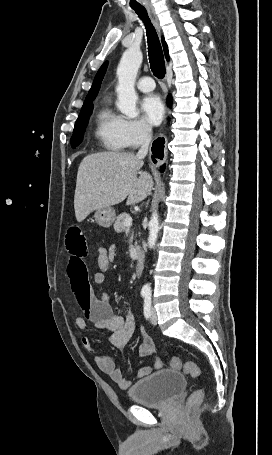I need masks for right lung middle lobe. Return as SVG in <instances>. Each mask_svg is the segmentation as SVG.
Returning <instances> with one entry per match:
<instances>
[{"mask_svg": "<svg viewBox=\"0 0 272 455\" xmlns=\"http://www.w3.org/2000/svg\"><path fill=\"white\" fill-rule=\"evenodd\" d=\"M93 101L83 104L79 117L76 120L73 135L71 137V146L74 148L78 146L83 140V133L88 124L89 116L93 110Z\"/></svg>", "mask_w": 272, "mask_h": 455, "instance_id": "right-lung-middle-lobe-1", "label": "right lung middle lobe"}]
</instances>
